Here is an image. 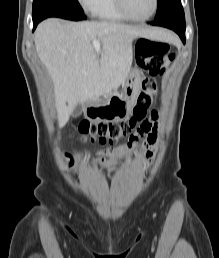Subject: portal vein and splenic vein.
<instances>
[{"label": "portal vein and splenic vein", "mask_w": 219, "mask_h": 258, "mask_svg": "<svg viewBox=\"0 0 219 258\" xmlns=\"http://www.w3.org/2000/svg\"><path fill=\"white\" fill-rule=\"evenodd\" d=\"M93 46L96 52H100V42L99 41H93Z\"/></svg>", "instance_id": "obj_1"}]
</instances>
